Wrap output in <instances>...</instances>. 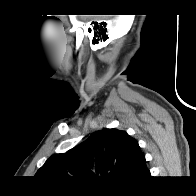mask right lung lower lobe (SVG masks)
Segmentation results:
<instances>
[{"mask_svg":"<svg viewBox=\"0 0 196 196\" xmlns=\"http://www.w3.org/2000/svg\"><path fill=\"white\" fill-rule=\"evenodd\" d=\"M149 175H150V174H149ZM149 175H148V176H146V178H149ZM146 178H145V179H146ZM140 183H141V182H140ZM138 184H139V183H138ZM135 185H137V184H133L132 186H135Z\"/></svg>","mask_w":196,"mask_h":196,"instance_id":"right-lung-lower-lobe-1","label":"right lung lower lobe"}]
</instances>
